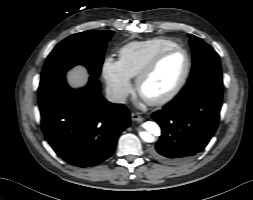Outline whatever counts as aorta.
I'll return each mask as SVG.
<instances>
[{
  "label": "aorta",
  "mask_w": 253,
  "mask_h": 200,
  "mask_svg": "<svg viewBox=\"0 0 253 200\" xmlns=\"http://www.w3.org/2000/svg\"><path fill=\"white\" fill-rule=\"evenodd\" d=\"M143 127L145 128L146 132H141L140 137L145 142H149V143L153 142L154 136L160 135V127L155 122H151V121L145 122L143 124Z\"/></svg>",
  "instance_id": "1"
}]
</instances>
